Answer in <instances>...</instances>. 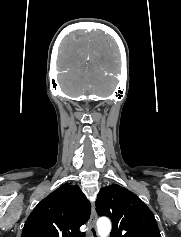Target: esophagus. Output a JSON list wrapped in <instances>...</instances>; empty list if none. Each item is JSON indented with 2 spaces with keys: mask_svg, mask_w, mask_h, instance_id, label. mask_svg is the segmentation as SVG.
<instances>
[{
  "mask_svg": "<svg viewBox=\"0 0 181 237\" xmlns=\"http://www.w3.org/2000/svg\"><path fill=\"white\" fill-rule=\"evenodd\" d=\"M96 220H97V213H96L94 204H92L91 215L89 219V231H90L91 237H98V233L96 229Z\"/></svg>",
  "mask_w": 181,
  "mask_h": 237,
  "instance_id": "34e87169",
  "label": "esophagus"
}]
</instances>
